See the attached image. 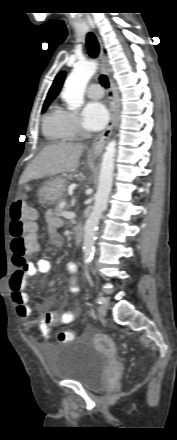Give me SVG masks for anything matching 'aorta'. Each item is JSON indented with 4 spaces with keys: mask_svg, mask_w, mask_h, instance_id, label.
<instances>
[{
    "mask_svg": "<svg viewBox=\"0 0 177 440\" xmlns=\"http://www.w3.org/2000/svg\"><path fill=\"white\" fill-rule=\"evenodd\" d=\"M96 70L97 64L93 61L79 62L67 77L62 97L66 101L69 110H75L83 104L87 83L96 73ZM115 152L116 140H111L103 154L94 207L84 226L83 255L86 265H89L93 258L95 235L99 220L103 211L107 208L113 182Z\"/></svg>",
    "mask_w": 177,
    "mask_h": 440,
    "instance_id": "762f6f07",
    "label": "aorta"
}]
</instances>
